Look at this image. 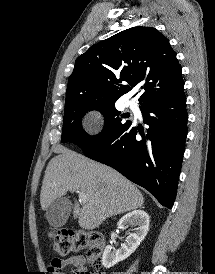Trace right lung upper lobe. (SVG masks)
<instances>
[{
    "mask_svg": "<svg viewBox=\"0 0 215 274\" xmlns=\"http://www.w3.org/2000/svg\"><path fill=\"white\" fill-rule=\"evenodd\" d=\"M136 85H142L140 105L184 91L176 53L169 40L152 27L129 28L80 55L68 80L65 105L115 102Z\"/></svg>",
    "mask_w": 215,
    "mask_h": 274,
    "instance_id": "obj_1",
    "label": "right lung upper lobe"
}]
</instances>
